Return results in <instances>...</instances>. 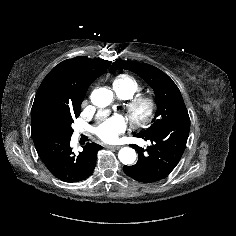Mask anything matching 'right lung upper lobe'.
I'll return each mask as SVG.
<instances>
[{"label": "right lung upper lobe", "mask_w": 236, "mask_h": 236, "mask_svg": "<svg viewBox=\"0 0 236 236\" xmlns=\"http://www.w3.org/2000/svg\"><path fill=\"white\" fill-rule=\"evenodd\" d=\"M111 62L87 57L67 59L55 66L42 81L32 106L31 131L42 132L43 120L54 113L80 112L90 84Z\"/></svg>", "instance_id": "cb5924a9"}]
</instances>
